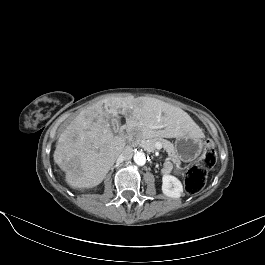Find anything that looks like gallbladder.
<instances>
[{
  "mask_svg": "<svg viewBox=\"0 0 265 265\" xmlns=\"http://www.w3.org/2000/svg\"><path fill=\"white\" fill-rule=\"evenodd\" d=\"M112 122H113V130H114V133H117V128L119 126V117H115L112 119Z\"/></svg>",
  "mask_w": 265,
  "mask_h": 265,
  "instance_id": "obj_1",
  "label": "gallbladder"
}]
</instances>
